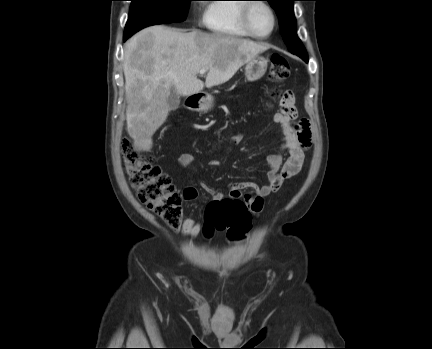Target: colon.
Returning <instances> with one entry per match:
<instances>
[{
    "label": "colon",
    "instance_id": "5ec220e1",
    "mask_svg": "<svg viewBox=\"0 0 432 349\" xmlns=\"http://www.w3.org/2000/svg\"><path fill=\"white\" fill-rule=\"evenodd\" d=\"M289 75L290 67L286 58L274 54L271 58L269 79L279 83ZM289 95L290 92H271L275 99H284ZM121 151L130 185L135 189L139 201L170 228L176 229L182 218V199L170 176L155 163L154 157L138 152L130 139H123ZM251 218L252 213L243 200L224 198L220 202L213 201L206 212V233L210 234L213 230L226 231L228 237L239 238L250 229Z\"/></svg>",
    "mask_w": 432,
    "mask_h": 349
}]
</instances>
